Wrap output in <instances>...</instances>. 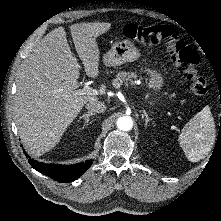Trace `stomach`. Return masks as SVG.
Listing matches in <instances>:
<instances>
[{
	"label": "stomach",
	"instance_id": "0dacf381",
	"mask_svg": "<svg viewBox=\"0 0 221 221\" xmlns=\"http://www.w3.org/2000/svg\"><path fill=\"white\" fill-rule=\"evenodd\" d=\"M140 57V51L129 40H123L115 43L111 49L103 56V62L108 67L120 66L126 62H133ZM149 88L157 94L164 84V78L162 74L153 69L149 70ZM150 105L154 106L156 101L153 99Z\"/></svg>",
	"mask_w": 221,
	"mask_h": 221
}]
</instances>
